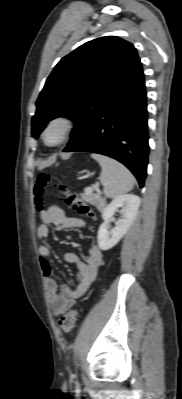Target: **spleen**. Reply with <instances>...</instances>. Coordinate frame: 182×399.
Here are the masks:
<instances>
[{"mask_svg": "<svg viewBox=\"0 0 182 399\" xmlns=\"http://www.w3.org/2000/svg\"><path fill=\"white\" fill-rule=\"evenodd\" d=\"M101 166L100 181L104 187V193L108 197H116L132 190L134 177L132 173L121 163L109 157L92 154Z\"/></svg>", "mask_w": 182, "mask_h": 399, "instance_id": "1", "label": "spleen"}]
</instances>
